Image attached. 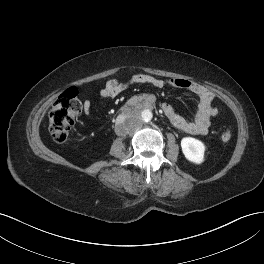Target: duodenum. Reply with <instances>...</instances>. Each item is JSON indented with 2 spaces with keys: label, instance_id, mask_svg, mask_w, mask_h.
Masks as SVG:
<instances>
[{
  "label": "duodenum",
  "instance_id": "410a0bca",
  "mask_svg": "<svg viewBox=\"0 0 264 264\" xmlns=\"http://www.w3.org/2000/svg\"><path fill=\"white\" fill-rule=\"evenodd\" d=\"M134 104H136L137 109H144V108H152L154 105V99H152L150 96L143 95L134 100ZM134 114V111L132 109H129L122 113L123 116L126 118L132 116Z\"/></svg>",
  "mask_w": 264,
  "mask_h": 264
}]
</instances>
